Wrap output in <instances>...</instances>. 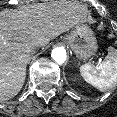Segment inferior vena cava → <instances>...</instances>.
Instances as JSON below:
<instances>
[{"mask_svg": "<svg viewBox=\"0 0 117 117\" xmlns=\"http://www.w3.org/2000/svg\"><path fill=\"white\" fill-rule=\"evenodd\" d=\"M37 52H38V49H37V47H35V46H30V47L28 48V53H29L30 55H35V54H37Z\"/></svg>", "mask_w": 117, "mask_h": 117, "instance_id": "1", "label": "inferior vena cava"}]
</instances>
